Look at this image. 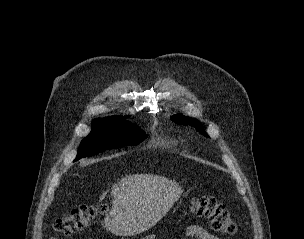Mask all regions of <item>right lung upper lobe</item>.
Instances as JSON below:
<instances>
[{
    "label": "right lung upper lobe",
    "instance_id": "cb5924a9",
    "mask_svg": "<svg viewBox=\"0 0 304 239\" xmlns=\"http://www.w3.org/2000/svg\"><path fill=\"white\" fill-rule=\"evenodd\" d=\"M108 118H117V117L113 116V117H108Z\"/></svg>",
    "mask_w": 304,
    "mask_h": 239
}]
</instances>
